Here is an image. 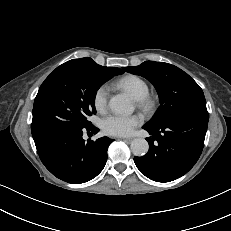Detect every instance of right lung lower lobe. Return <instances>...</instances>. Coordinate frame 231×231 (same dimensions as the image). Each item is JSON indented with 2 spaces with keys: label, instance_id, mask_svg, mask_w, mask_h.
<instances>
[{
  "label": "right lung lower lobe",
  "instance_id": "1",
  "mask_svg": "<svg viewBox=\"0 0 231 231\" xmlns=\"http://www.w3.org/2000/svg\"><path fill=\"white\" fill-rule=\"evenodd\" d=\"M96 134L94 125L66 131L47 142L35 141L37 152L45 167L57 178L72 184L96 177L107 161V149L114 140L106 136L96 141L83 139V133Z\"/></svg>",
  "mask_w": 231,
  "mask_h": 231
}]
</instances>
